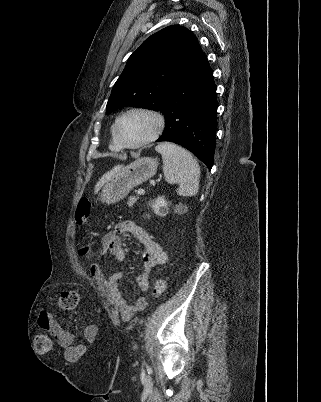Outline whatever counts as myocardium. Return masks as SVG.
I'll return each instance as SVG.
<instances>
[{
    "mask_svg": "<svg viewBox=\"0 0 321 402\" xmlns=\"http://www.w3.org/2000/svg\"><path fill=\"white\" fill-rule=\"evenodd\" d=\"M133 113H142L152 117L155 121V129L150 136L143 139L142 141L135 144H128L125 143L119 135V124L123 118ZM164 129H165L164 116L159 111L145 106H134L126 109L116 118L113 124V134L119 146L122 149H131V150L141 149L151 144L160 137Z\"/></svg>",
    "mask_w": 321,
    "mask_h": 402,
    "instance_id": "1",
    "label": "myocardium"
}]
</instances>
